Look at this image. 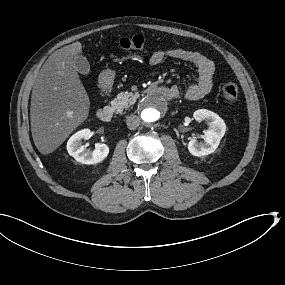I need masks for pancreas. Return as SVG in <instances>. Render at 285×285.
<instances>
[{
	"mask_svg": "<svg viewBox=\"0 0 285 285\" xmlns=\"http://www.w3.org/2000/svg\"><path fill=\"white\" fill-rule=\"evenodd\" d=\"M139 96L136 93L126 92L114 97L112 104L115 108L116 114H121L123 111L128 109L132 104L138 101Z\"/></svg>",
	"mask_w": 285,
	"mask_h": 285,
	"instance_id": "1",
	"label": "pancreas"
}]
</instances>
